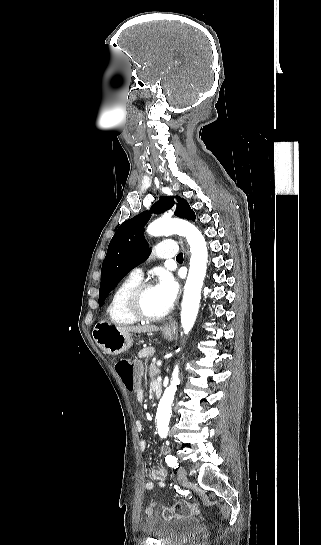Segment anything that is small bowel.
I'll return each mask as SVG.
<instances>
[{"instance_id":"1","label":"small bowel","mask_w":321,"mask_h":545,"mask_svg":"<svg viewBox=\"0 0 321 545\" xmlns=\"http://www.w3.org/2000/svg\"><path fill=\"white\" fill-rule=\"evenodd\" d=\"M155 383H157V381L152 383V387H153V385ZM136 399H137L138 402H142L144 400L143 390L138 389L136 391ZM135 426H136V429H137L138 432H142L143 425H142V423L140 421H137ZM139 447H140V449L142 451L146 450L147 442L145 440H141L140 443H139ZM151 478H152L151 481H147L145 483V485H144L145 490L150 491V490H153L155 486H157L159 488H163L165 486V473H164L162 468H159V467L152 468Z\"/></svg>"}]
</instances>
